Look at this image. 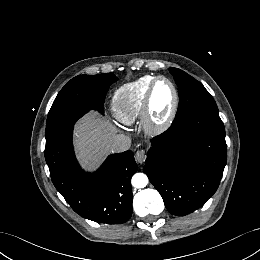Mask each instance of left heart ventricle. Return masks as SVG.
<instances>
[{
	"instance_id": "left-heart-ventricle-1",
	"label": "left heart ventricle",
	"mask_w": 260,
	"mask_h": 260,
	"mask_svg": "<svg viewBox=\"0 0 260 260\" xmlns=\"http://www.w3.org/2000/svg\"><path fill=\"white\" fill-rule=\"evenodd\" d=\"M174 102V96L168 83L160 81L152 98V116L156 123L164 122L169 116Z\"/></svg>"
}]
</instances>
